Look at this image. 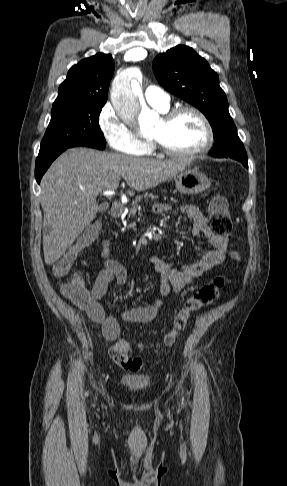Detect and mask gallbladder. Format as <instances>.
I'll list each match as a JSON object with an SVG mask.
<instances>
[{
  "instance_id": "obj_1",
  "label": "gallbladder",
  "mask_w": 287,
  "mask_h": 486,
  "mask_svg": "<svg viewBox=\"0 0 287 486\" xmlns=\"http://www.w3.org/2000/svg\"><path fill=\"white\" fill-rule=\"evenodd\" d=\"M106 208H107V206H105V205H101V206L99 207V210H100V211H104V210H106Z\"/></svg>"
}]
</instances>
